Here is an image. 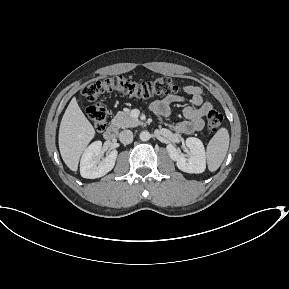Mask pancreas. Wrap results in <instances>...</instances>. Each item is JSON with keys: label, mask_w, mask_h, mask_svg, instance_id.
I'll return each mask as SVG.
<instances>
[{"label": "pancreas", "mask_w": 289, "mask_h": 289, "mask_svg": "<svg viewBox=\"0 0 289 289\" xmlns=\"http://www.w3.org/2000/svg\"><path fill=\"white\" fill-rule=\"evenodd\" d=\"M112 124L117 128H133L142 123L131 116L129 111L118 112L112 119Z\"/></svg>", "instance_id": "pancreas-1"}]
</instances>
